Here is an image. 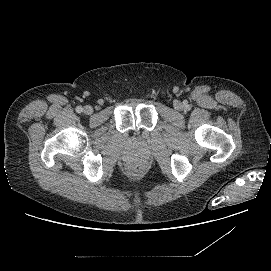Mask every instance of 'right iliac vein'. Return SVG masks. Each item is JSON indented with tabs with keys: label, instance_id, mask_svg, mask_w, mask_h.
Instances as JSON below:
<instances>
[{
	"label": "right iliac vein",
	"instance_id": "1",
	"mask_svg": "<svg viewBox=\"0 0 271 271\" xmlns=\"http://www.w3.org/2000/svg\"><path fill=\"white\" fill-rule=\"evenodd\" d=\"M83 112L87 115H90L93 113V108L90 105H86L83 109Z\"/></svg>",
	"mask_w": 271,
	"mask_h": 271
}]
</instances>
